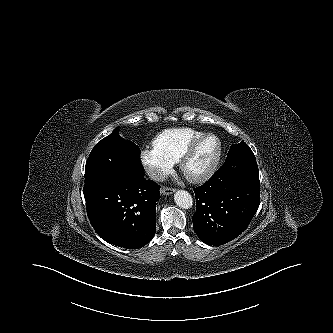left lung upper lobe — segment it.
Here are the masks:
<instances>
[{
  "mask_svg": "<svg viewBox=\"0 0 333 333\" xmlns=\"http://www.w3.org/2000/svg\"><path fill=\"white\" fill-rule=\"evenodd\" d=\"M223 166L237 178L259 183V170L254 153L244 141L231 145Z\"/></svg>",
  "mask_w": 333,
  "mask_h": 333,
  "instance_id": "obj_1",
  "label": "left lung upper lobe"
}]
</instances>
